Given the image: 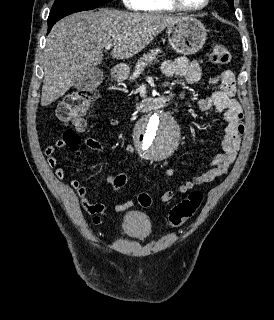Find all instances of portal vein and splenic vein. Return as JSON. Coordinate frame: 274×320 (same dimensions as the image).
Wrapping results in <instances>:
<instances>
[{
  "mask_svg": "<svg viewBox=\"0 0 274 320\" xmlns=\"http://www.w3.org/2000/svg\"><path fill=\"white\" fill-rule=\"evenodd\" d=\"M113 44H106L105 50H111Z\"/></svg>",
  "mask_w": 274,
  "mask_h": 320,
  "instance_id": "1",
  "label": "portal vein and splenic vein"
}]
</instances>
